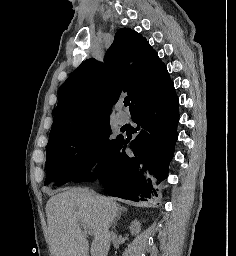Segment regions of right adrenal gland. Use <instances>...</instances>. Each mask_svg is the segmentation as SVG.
<instances>
[{
	"label": "right adrenal gland",
	"mask_w": 236,
	"mask_h": 256,
	"mask_svg": "<svg viewBox=\"0 0 236 256\" xmlns=\"http://www.w3.org/2000/svg\"><path fill=\"white\" fill-rule=\"evenodd\" d=\"M123 212H126V208H123ZM120 216H117V218H115V220H113V230H116V224H117V220H119Z\"/></svg>",
	"instance_id": "1"
}]
</instances>
